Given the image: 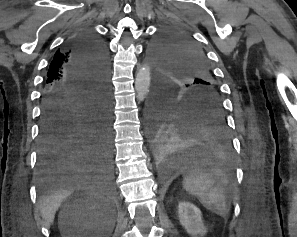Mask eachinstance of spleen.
<instances>
[{"mask_svg": "<svg viewBox=\"0 0 297 237\" xmlns=\"http://www.w3.org/2000/svg\"><path fill=\"white\" fill-rule=\"evenodd\" d=\"M183 188L196 196L209 211L219 216L228 214L225 182L219 173L194 169L184 177Z\"/></svg>", "mask_w": 297, "mask_h": 237, "instance_id": "obj_1", "label": "spleen"}]
</instances>
